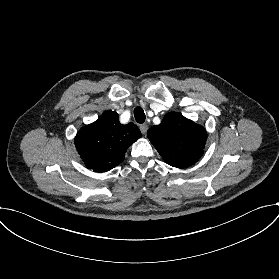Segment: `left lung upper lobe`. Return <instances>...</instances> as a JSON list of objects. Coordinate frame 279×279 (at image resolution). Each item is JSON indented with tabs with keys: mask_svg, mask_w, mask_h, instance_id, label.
Wrapping results in <instances>:
<instances>
[{
	"mask_svg": "<svg viewBox=\"0 0 279 279\" xmlns=\"http://www.w3.org/2000/svg\"><path fill=\"white\" fill-rule=\"evenodd\" d=\"M147 136L164 161L178 168L196 163L207 139L202 126L176 112L166 114L161 124L148 130Z\"/></svg>",
	"mask_w": 279,
	"mask_h": 279,
	"instance_id": "left-lung-upper-lobe-1",
	"label": "left lung upper lobe"
}]
</instances>
